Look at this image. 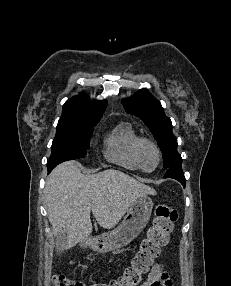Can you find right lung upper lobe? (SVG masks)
Instances as JSON below:
<instances>
[{
    "label": "right lung upper lobe",
    "instance_id": "obj_1",
    "mask_svg": "<svg viewBox=\"0 0 231 286\" xmlns=\"http://www.w3.org/2000/svg\"><path fill=\"white\" fill-rule=\"evenodd\" d=\"M106 106L105 100L90 101L86 95L81 94L65 102L62 115H102Z\"/></svg>",
    "mask_w": 231,
    "mask_h": 286
}]
</instances>
